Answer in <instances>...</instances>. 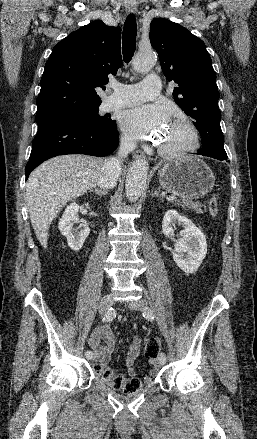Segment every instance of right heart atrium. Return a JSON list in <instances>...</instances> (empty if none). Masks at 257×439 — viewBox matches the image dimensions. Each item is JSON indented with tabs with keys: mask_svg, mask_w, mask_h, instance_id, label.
<instances>
[{
	"mask_svg": "<svg viewBox=\"0 0 257 439\" xmlns=\"http://www.w3.org/2000/svg\"><path fill=\"white\" fill-rule=\"evenodd\" d=\"M122 141L126 147H128V148L131 147L132 140L128 136H123Z\"/></svg>",
	"mask_w": 257,
	"mask_h": 439,
	"instance_id": "d8ad5b80",
	"label": "right heart atrium"
}]
</instances>
